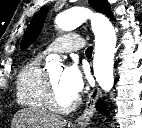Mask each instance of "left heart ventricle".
Returning <instances> with one entry per match:
<instances>
[{"mask_svg": "<svg viewBox=\"0 0 142 128\" xmlns=\"http://www.w3.org/2000/svg\"><path fill=\"white\" fill-rule=\"evenodd\" d=\"M62 69H56L52 71L49 76L51 78V81L53 83L54 89L56 91L57 100L61 105H67L74 96L69 94L60 83L61 75H62Z\"/></svg>", "mask_w": 142, "mask_h": 128, "instance_id": "b2bd125f", "label": "left heart ventricle"}]
</instances>
